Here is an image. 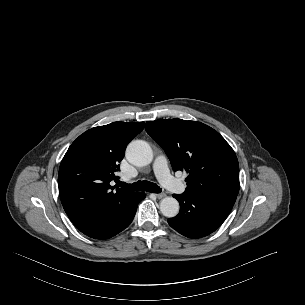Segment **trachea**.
Returning <instances> with one entry per match:
<instances>
[{"mask_svg": "<svg viewBox=\"0 0 305 305\" xmlns=\"http://www.w3.org/2000/svg\"><path fill=\"white\" fill-rule=\"evenodd\" d=\"M119 186L134 191H147L151 193L161 192V188L157 184L152 183L150 181H137L136 183L133 184L119 182Z\"/></svg>", "mask_w": 305, "mask_h": 305, "instance_id": "trachea-1", "label": "trachea"}]
</instances>
